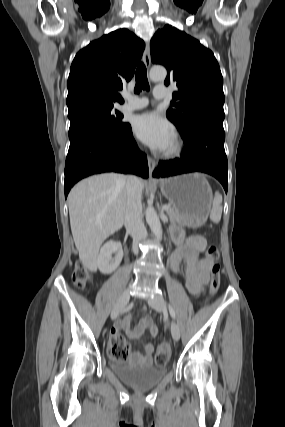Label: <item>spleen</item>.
<instances>
[{
  "mask_svg": "<svg viewBox=\"0 0 285 427\" xmlns=\"http://www.w3.org/2000/svg\"><path fill=\"white\" fill-rule=\"evenodd\" d=\"M222 215V195L219 192L215 193L212 210L210 213V220L214 223H219Z\"/></svg>",
  "mask_w": 285,
  "mask_h": 427,
  "instance_id": "obj_1",
  "label": "spleen"
}]
</instances>
